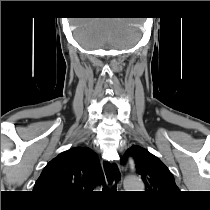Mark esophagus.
<instances>
[{"label": "esophagus", "mask_w": 210, "mask_h": 210, "mask_svg": "<svg viewBox=\"0 0 210 210\" xmlns=\"http://www.w3.org/2000/svg\"><path fill=\"white\" fill-rule=\"evenodd\" d=\"M102 167H103L104 176H105L107 186L108 187L111 186V185L113 186L115 184V179L112 178L111 173H112V169L114 167V163L110 160L103 159L102 160ZM122 181H123L122 173H119V175L116 178L117 191L122 190Z\"/></svg>", "instance_id": "esophagus-1"}]
</instances>
